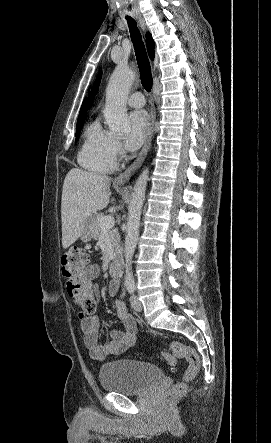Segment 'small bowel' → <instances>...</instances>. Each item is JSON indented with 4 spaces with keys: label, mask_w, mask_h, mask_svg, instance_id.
Instances as JSON below:
<instances>
[{
    "label": "small bowel",
    "mask_w": 271,
    "mask_h": 443,
    "mask_svg": "<svg viewBox=\"0 0 271 443\" xmlns=\"http://www.w3.org/2000/svg\"><path fill=\"white\" fill-rule=\"evenodd\" d=\"M85 276L90 280L99 277L100 269L98 265H89L85 269ZM94 287L95 299L98 297L97 287ZM118 283H112L109 287L111 296L118 293ZM116 312L118 318L123 323V329L120 331H112L109 339L105 342L100 338V323L94 315L86 313L80 314V327L84 334V342L89 349L90 355L96 360H104L109 356L119 355L131 347L136 340L137 328L134 318L128 313L125 305L121 301H116Z\"/></svg>",
    "instance_id": "small-bowel-1"
}]
</instances>
